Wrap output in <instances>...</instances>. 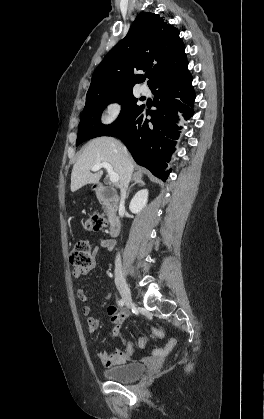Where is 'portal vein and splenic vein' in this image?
<instances>
[{"instance_id": "obj_1", "label": "portal vein and splenic vein", "mask_w": 264, "mask_h": 419, "mask_svg": "<svg viewBox=\"0 0 264 419\" xmlns=\"http://www.w3.org/2000/svg\"><path fill=\"white\" fill-rule=\"evenodd\" d=\"M101 168H105L107 170L110 181L112 183H114V184L118 183V181H119L118 174L114 172L113 167L107 162L97 163L94 166H92L91 170L93 172H96V171H99Z\"/></svg>"}]
</instances>
